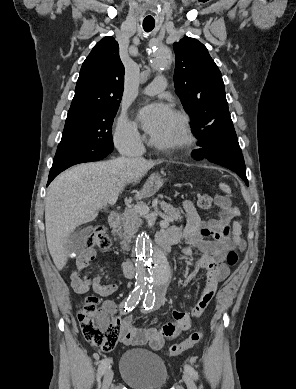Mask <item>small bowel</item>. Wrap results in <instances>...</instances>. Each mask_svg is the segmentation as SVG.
Listing matches in <instances>:
<instances>
[{"label":"small bowel","instance_id":"1","mask_svg":"<svg viewBox=\"0 0 296 389\" xmlns=\"http://www.w3.org/2000/svg\"><path fill=\"white\" fill-rule=\"evenodd\" d=\"M217 205L220 209L219 217L209 221L201 220L195 206L189 200L182 203L185 215L186 226L181 231L178 227L172 226L162 231L157 237L164 235L175 239L176 242L184 240L185 247L182 252L192 262V267L185 273V282L192 278L194 269L203 268L206 270L205 286L192 308V314L199 316L214 297L218 284L225 280L230 269L225 264V257L229 249L236 246L232 240V229L230 226L234 218V212L226 199H218ZM211 237L212 240L206 239ZM96 256L93 248L83 249L76 258L75 270L71 273V286L76 293H86L92 289L101 297H108L117 291L119 284H103L99 276L93 278L82 276L81 272L88 263ZM103 306L114 314L118 305L113 300H106ZM120 341L130 346L149 345L153 350H160L163 346L179 336L183 331L191 327V316L183 310H175L171 322L160 328L155 327H134L131 316H124L120 320Z\"/></svg>","mask_w":296,"mask_h":389}]
</instances>
